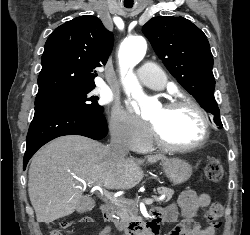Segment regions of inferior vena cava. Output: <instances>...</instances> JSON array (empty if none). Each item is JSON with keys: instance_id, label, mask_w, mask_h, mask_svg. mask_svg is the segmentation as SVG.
Returning a JSON list of instances; mask_svg holds the SVG:
<instances>
[{"instance_id": "inferior-vena-cava-1", "label": "inferior vena cava", "mask_w": 250, "mask_h": 235, "mask_svg": "<svg viewBox=\"0 0 250 235\" xmlns=\"http://www.w3.org/2000/svg\"><path fill=\"white\" fill-rule=\"evenodd\" d=\"M107 151L110 157H123L129 152L122 135L118 131L111 134L110 144L107 146Z\"/></svg>"}]
</instances>
